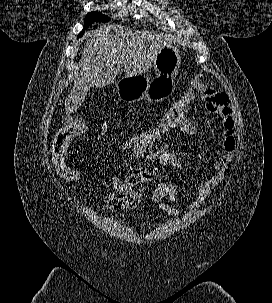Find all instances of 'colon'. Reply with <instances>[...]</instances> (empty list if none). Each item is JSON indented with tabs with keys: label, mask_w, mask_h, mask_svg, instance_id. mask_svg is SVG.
<instances>
[{
	"label": "colon",
	"mask_w": 272,
	"mask_h": 303,
	"mask_svg": "<svg viewBox=\"0 0 272 303\" xmlns=\"http://www.w3.org/2000/svg\"><path fill=\"white\" fill-rule=\"evenodd\" d=\"M201 76H197L190 87L182 93L162 114L153 126L134 132L125 137L119 144L122 151L146 149L161 146V143L175 133H182L190 128L188 110L196 93L203 88ZM88 130L85 120L76 118L66 123L54 136L51 148V160L57 174L67 181H79L84 171L71 166L66 160L69 143ZM138 193L114 191L105 198V206L109 209H127L140 202Z\"/></svg>",
	"instance_id": "1"
}]
</instances>
